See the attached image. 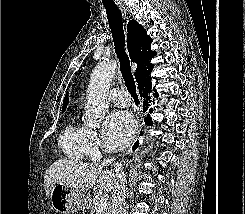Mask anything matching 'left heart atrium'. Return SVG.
<instances>
[{"label":"left heart atrium","mask_w":245,"mask_h":214,"mask_svg":"<svg viewBox=\"0 0 245 214\" xmlns=\"http://www.w3.org/2000/svg\"><path fill=\"white\" fill-rule=\"evenodd\" d=\"M136 131L132 115L124 110L111 112L103 123V137L109 150L117 151L128 145Z\"/></svg>","instance_id":"1"}]
</instances>
